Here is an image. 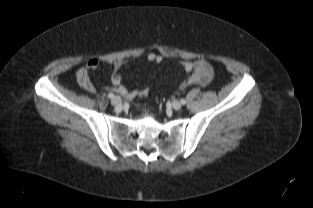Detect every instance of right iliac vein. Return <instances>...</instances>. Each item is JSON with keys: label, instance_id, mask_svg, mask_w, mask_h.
Wrapping results in <instances>:
<instances>
[{"label": "right iliac vein", "instance_id": "1", "mask_svg": "<svg viewBox=\"0 0 313 208\" xmlns=\"http://www.w3.org/2000/svg\"><path fill=\"white\" fill-rule=\"evenodd\" d=\"M111 103L113 106H115L116 109L122 106V100L118 96H115L114 98H112Z\"/></svg>", "mask_w": 313, "mask_h": 208}]
</instances>
